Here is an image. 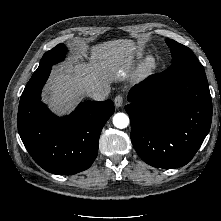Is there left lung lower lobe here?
<instances>
[{
  "label": "left lung lower lobe",
  "mask_w": 221,
  "mask_h": 221,
  "mask_svg": "<svg viewBox=\"0 0 221 221\" xmlns=\"http://www.w3.org/2000/svg\"><path fill=\"white\" fill-rule=\"evenodd\" d=\"M128 100L132 144L151 166L186 165L210 130L212 100L197 59L151 75L130 90Z\"/></svg>",
  "instance_id": "1"
}]
</instances>
